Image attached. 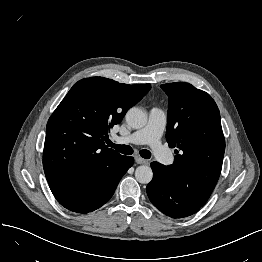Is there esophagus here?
I'll return each mask as SVG.
<instances>
[{
  "label": "esophagus",
  "instance_id": "obj_1",
  "mask_svg": "<svg viewBox=\"0 0 262 262\" xmlns=\"http://www.w3.org/2000/svg\"><path fill=\"white\" fill-rule=\"evenodd\" d=\"M135 162H136L137 164H148V161H147V160H145V159H143V158H141V157H139V156H135Z\"/></svg>",
  "mask_w": 262,
  "mask_h": 262
}]
</instances>
